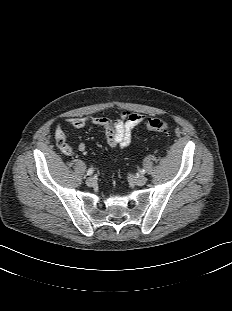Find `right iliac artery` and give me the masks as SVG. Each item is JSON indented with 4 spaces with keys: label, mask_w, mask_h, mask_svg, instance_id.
Instances as JSON below:
<instances>
[{
    "label": "right iliac artery",
    "mask_w": 232,
    "mask_h": 311,
    "mask_svg": "<svg viewBox=\"0 0 232 311\" xmlns=\"http://www.w3.org/2000/svg\"><path fill=\"white\" fill-rule=\"evenodd\" d=\"M94 172L93 168L88 169L87 171V175H92Z\"/></svg>",
    "instance_id": "1"
}]
</instances>
